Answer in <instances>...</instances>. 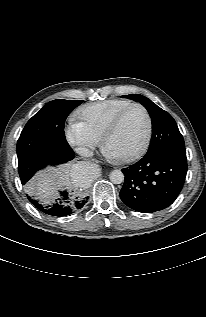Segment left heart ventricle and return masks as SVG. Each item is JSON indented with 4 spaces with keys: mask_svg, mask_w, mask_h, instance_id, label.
Instances as JSON below:
<instances>
[{
    "mask_svg": "<svg viewBox=\"0 0 206 317\" xmlns=\"http://www.w3.org/2000/svg\"><path fill=\"white\" fill-rule=\"evenodd\" d=\"M145 133L146 117L140 108H133L109 136L106 146L117 156H124L141 145Z\"/></svg>",
    "mask_w": 206,
    "mask_h": 317,
    "instance_id": "obj_1",
    "label": "left heart ventricle"
}]
</instances>
